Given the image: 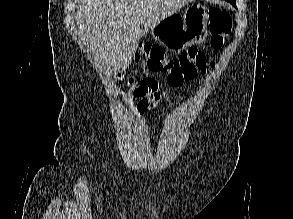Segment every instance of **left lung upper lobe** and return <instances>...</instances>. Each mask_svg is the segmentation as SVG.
<instances>
[{"label":"left lung upper lobe","mask_w":293,"mask_h":219,"mask_svg":"<svg viewBox=\"0 0 293 219\" xmlns=\"http://www.w3.org/2000/svg\"><path fill=\"white\" fill-rule=\"evenodd\" d=\"M227 2L231 3L232 5L236 6L235 5V0H226Z\"/></svg>","instance_id":"5c2ea615"}]
</instances>
